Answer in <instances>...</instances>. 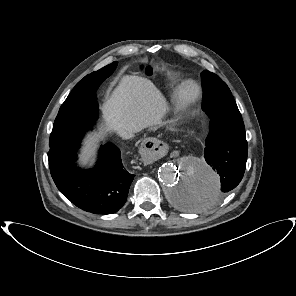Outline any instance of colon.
<instances>
[{
    "label": "colon",
    "instance_id": "5ec220e1",
    "mask_svg": "<svg viewBox=\"0 0 296 296\" xmlns=\"http://www.w3.org/2000/svg\"><path fill=\"white\" fill-rule=\"evenodd\" d=\"M146 72H147L149 75L152 74L151 70H149V69H148Z\"/></svg>",
    "mask_w": 296,
    "mask_h": 296
}]
</instances>
